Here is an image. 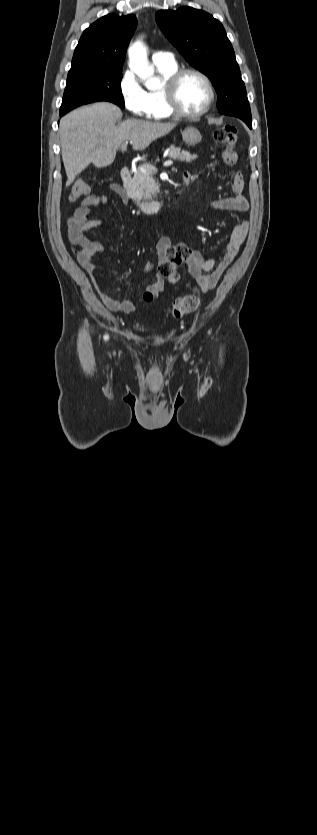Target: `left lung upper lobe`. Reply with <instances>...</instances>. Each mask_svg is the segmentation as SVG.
Wrapping results in <instances>:
<instances>
[{
    "instance_id": "left-lung-upper-lobe-1",
    "label": "left lung upper lobe",
    "mask_w": 317,
    "mask_h": 835,
    "mask_svg": "<svg viewBox=\"0 0 317 835\" xmlns=\"http://www.w3.org/2000/svg\"><path fill=\"white\" fill-rule=\"evenodd\" d=\"M156 22L180 54L210 78L218 95V111L251 119L246 88L222 24L209 13L191 7L160 10Z\"/></svg>"
}]
</instances>
